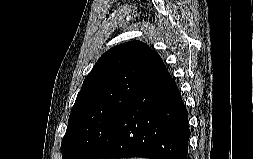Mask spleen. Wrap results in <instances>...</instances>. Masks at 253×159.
<instances>
[{"instance_id": "3e777b00", "label": "spleen", "mask_w": 253, "mask_h": 159, "mask_svg": "<svg viewBox=\"0 0 253 159\" xmlns=\"http://www.w3.org/2000/svg\"><path fill=\"white\" fill-rule=\"evenodd\" d=\"M132 159H140V158H132Z\"/></svg>"}]
</instances>
